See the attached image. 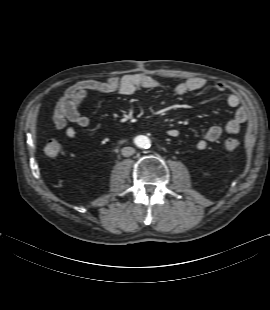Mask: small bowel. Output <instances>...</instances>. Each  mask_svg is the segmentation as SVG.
<instances>
[{
	"label": "small bowel",
	"mask_w": 270,
	"mask_h": 310,
	"mask_svg": "<svg viewBox=\"0 0 270 310\" xmlns=\"http://www.w3.org/2000/svg\"><path fill=\"white\" fill-rule=\"evenodd\" d=\"M206 86V80L201 77L190 78L170 88L176 95H184L197 91ZM138 88L154 89L168 87L162 85L153 77L145 73H130L120 77H112L106 80L86 79L81 80L69 87L64 95L58 100L54 110L53 120L55 127L64 130L68 138H75L77 131L75 126L85 128L90 124V119L82 114L81 108L89 92L112 93L131 95ZM214 88L219 92L226 91L227 87L221 82H216ZM227 104L235 109L233 118L225 125H213L206 131L204 138L199 140L196 147L199 150L206 148L208 142L217 141L223 133L237 134L241 125L247 120V110L242 106L241 99L236 93L227 96ZM68 122L72 125H68ZM172 138L179 136L177 129L168 130Z\"/></svg>",
	"instance_id": "small-bowel-1"
}]
</instances>
